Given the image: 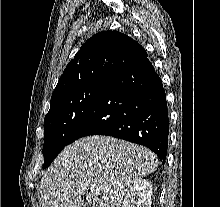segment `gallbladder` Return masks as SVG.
Segmentation results:
<instances>
[{
	"instance_id": "bac80fb5",
	"label": "gallbladder",
	"mask_w": 220,
	"mask_h": 207,
	"mask_svg": "<svg viewBox=\"0 0 220 207\" xmlns=\"http://www.w3.org/2000/svg\"><path fill=\"white\" fill-rule=\"evenodd\" d=\"M83 207H90V206H89L88 203L86 202V203H84Z\"/></svg>"
}]
</instances>
